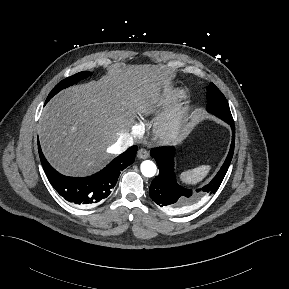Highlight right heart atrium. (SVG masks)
Segmentation results:
<instances>
[{
    "mask_svg": "<svg viewBox=\"0 0 289 289\" xmlns=\"http://www.w3.org/2000/svg\"><path fill=\"white\" fill-rule=\"evenodd\" d=\"M133 130H134V132H136V130H137V127L133 128Z\"/></svg>",
    "mask_w": 289,
    "mask_h": 289,
    "instance_id": "d8ad5b80",
    "label": "right heart atrium"
}]
</instances>
